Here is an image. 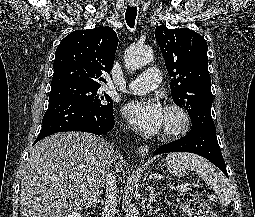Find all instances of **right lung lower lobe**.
Listing matches in <instances>:
<instances>
[{"label":"right lung lower lobe","mask_w":255,"mask_h":217,"mask_svg":"<svg viewBox=\"0 0 255 217\" xmlns=\"http://www.w3.org/2000/svg\"><path fill=\"white\" fill-rule=\"evenodd\" d=\"M113 127V109L98 110L80 102L57 98L49 101L42 129L34 144L57 132L83 131L102 135L111 131Z\"/></svg>","instance_id":"98d812e1"}]
</instances>
